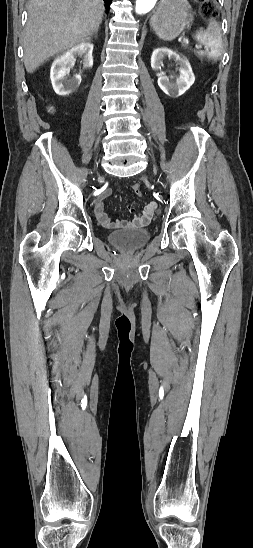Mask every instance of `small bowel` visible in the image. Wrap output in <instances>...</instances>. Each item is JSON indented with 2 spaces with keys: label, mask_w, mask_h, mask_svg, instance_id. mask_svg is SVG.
Returning a JSON list of instances; mask_svg holds the SVG:
<instances>
[{
  "label": "small bowel",
  "mask_w": 253,
  "mask_h": 548,
  "mask_svg": "<svg viewBox=\"0 0 253 548\" xmlns=\"http://www.w3.org/2000/svg\"><path fill=\"white\" fill-rule=\"evenodd\" d=\"M111 194L110 190H104L96 199L94 204V211L95 215L100 222V224L106 228H123V227H142L147 225L156 208L157 204L154 201L147 202L141 213L136 214L135 217L132 220H123L118 219L115 221H112L109 217V215L105 211V200L108 198Z\"/></svg>",
  "instance_id": "c3829d8e"
}]
</instances>
